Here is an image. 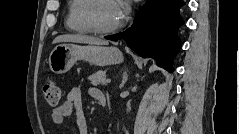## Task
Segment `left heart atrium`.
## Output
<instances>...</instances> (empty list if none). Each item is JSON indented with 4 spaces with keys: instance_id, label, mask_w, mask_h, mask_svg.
I'll return each instance as SVG.
<instances>
[{
    "instance_id": "1",
    "label": "left heart atrium",
    "mask_w": 239,
    "mask_h": 134,
    "mask_svg": "<svg viewBox=\"0 0 239 134\" xmlns=\"http://www.w3.org/2000/svg\"><path fill=\"white\" fill-rule=\"evenodd\" d=\"M116 12L119 21H121L129 11V7L126 1L115 2Z\"/></svg>"
}]
</instances>
